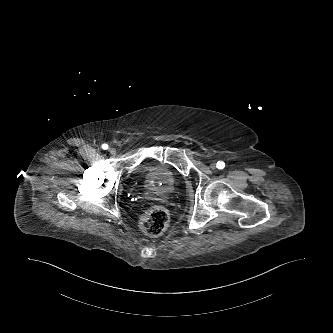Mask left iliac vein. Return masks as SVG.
Segmentation results:
<instances>
[{
    "mask_svg": "<svg viewBox=\"0 0 333 333\" xmlns=\"http://www.w3.org/2000/svg\"><path fill=\"white\" fill-rule=\"evenodd\" d=\"M216 167H217V164H216L215 162H212V163L210 164V168H211V169H216Z\"/></svg>",
    "mask_w": 333,
    "mask_h": 333,
    "instance_id": "4c4485c4",
    "label": "left iliac vein"
}]
</instances>
